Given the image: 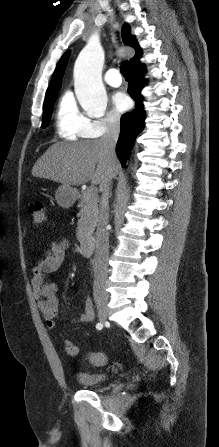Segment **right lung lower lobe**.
Returning a JSON list of instances; mask_svg holds the SVG:
<instances>
[{
	"instance_id": "1",
	"label": "right lung lower lobe",
	"mask_w": 219,
	"mask_h": 447,
	"mask_svg": "<svg viewBox=\"0 0 219 447\" xmlns=\"http://www.w3.org/2000/svg\"><path fill=\"white\" fill-rule=\"evenodd\" d=\"M145 67L138 63L129 69L128 94L133 98L136 107L132 112L122 115L120 121V136L116 145V153L122 166H126V160L129 158L130 150L134 145L137 135L144 127L145 111L143 105V96L141 90L145 86L144 79Z\"/></svg>"
}]
</instances>
